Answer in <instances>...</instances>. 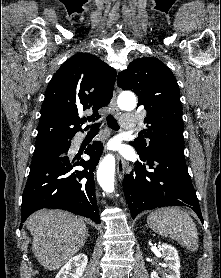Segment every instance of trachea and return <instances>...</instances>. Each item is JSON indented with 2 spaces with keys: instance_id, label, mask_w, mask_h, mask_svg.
Here are the masks:
<instances>
[{
  "instance_id": "trachea-1",
  "label": "trachea",
  "mask_w": 221,
  "mask_h": 278,
  "mask_svg": "<svg viewBox=\"0 0 221 278\" xmlns=\"http://www.w3.org/2000/svg\"><path fill=\"white\" fill-rule=\"evenodd\" d=\"M106 121L110 128H112L114 130H119L120 127L117 123V120L111 114L106 117ZM99 127H100V124H94L91 126L90 131H98Z\"/></svg>"
}]
</instances>
